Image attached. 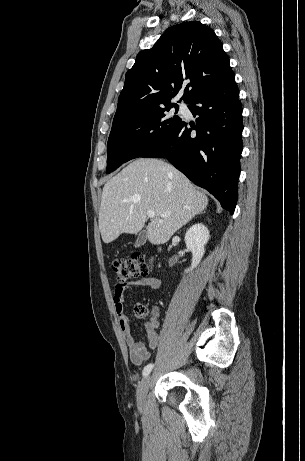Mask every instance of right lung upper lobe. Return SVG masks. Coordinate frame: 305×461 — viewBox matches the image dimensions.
<instances>
[{
    "label": "right lung upper lobe",
    "mask_w": 305,
    "mask_h": 461,
    "mask_svg": "<svg viewBox=\"0 0 305 461\" xmlns=\"http://www.w3.org/2000/svg\"><path fill=\"white\" fill-rule=\"evenodd\" d=\"M229 58L214 31L199 21L167 29L151 49L141 51L125 76L113 124L166 104L186 86L181 99L194 97L232 74Z\"/></svg>",
    "instance_id": "1"
}]
</instances>
